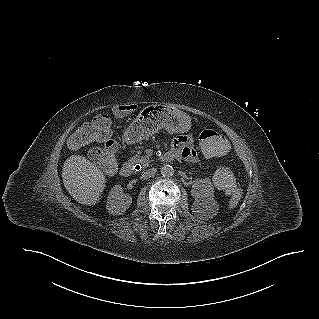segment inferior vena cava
I'll return each mask as SVG.
<instances>
[{
	"instance_id": "1",
	"label": "inferior vena cava",
	"mask_w": 319,
	"mask_h": 319,
	"mask_svg": "<svg viewBox=\"0 0 319 319\" xmlns=\"http://www.w3.org/2000/svg\"><path fill=\"white\" fill-rule=\"evenodd\" d=\"M156 170L155 169H150L146 172L143 173L142 178L143 179H148L150 178L153 174H155Z\"/></svg>"
}]
</instances>
